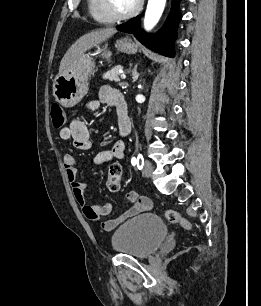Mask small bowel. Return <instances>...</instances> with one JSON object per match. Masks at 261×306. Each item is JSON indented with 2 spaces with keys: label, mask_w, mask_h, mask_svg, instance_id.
Masks as SVG:
<instances>
[{
  "label": "small bowel",
  "mask_w": 261,
  "mask_h": 306,
  "mask_svg": "<svg viewBox=\"0 0 261 306\" xmlns=\"http://www.w3.org/2000/svg\"><path fill=\"white\" fill-rule=\"evenodd\" d=\"M99 103H105L115 108L118 117L119 133L122 137L127 136L131 130V123L121 93L113 87L104 86L100 89L99 100L91 102L89 107L95 109L98 107ZM59 135L62 140H72L73 146L79 150H87L92 145L90 131L86 124L79 119H73L68 127L60 130ZM125 150V142L123 140H118L111 149L97 153L93 162L95 165H101L113 159H122L125 156ZM79 163L80 161L71 153H66L63 156V165L75 200L82 206L83 213L89 220L99 221L102 217L111 214L112 205L110 203L101 205H87L85 203V185L76 180L77 166ZM127 199L132 203L131 207L114 219L102 221V229L111 231L126 219L151 209L152 202L147 197L139 196L135 192H130L127 194Z\"/></svg>",
  "instance_id": "obj_1"
}]
</instances>
